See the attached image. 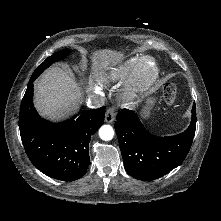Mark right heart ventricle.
Here are the masks:
<instances>
[{
    "instance_id": "e07e8e85",
    "label": "right heart ventricle",
    "mask_w": 221,
    "mask_h": 221,
    "mask_svg": "<svg viewBox=\"0 0 221 221\" xmlns=\"http://www.w3.org/2000/svg\"><path fill=\"white\" fill-rule=\"evenodd\" d=\"M140 59H141L140 57H134V58L130 59L124 67H122L120 70H118V72L115 74V76L116 77L124 76V75L128 74L129 72H131Z\"/></svg>"
}]
</instances>
